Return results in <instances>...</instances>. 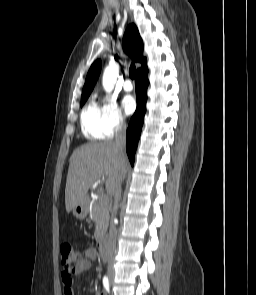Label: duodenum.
<instances>
[{
  "label": "duodenum",
  "instance_id": "1",
  "mask_svg": "<svg viewBox=\"0 0 256 295\" xmlns=\"http://www.w3.org/2000/svg\"><path fill=\"white\" fill-rule=\"evenodd\" d=\"M99 254L102 260L108 259V250L103 242H101L98 246Z\"/></svg>",
  "mask_w": 256,
  "mask_h": 295
}]
</instances>
